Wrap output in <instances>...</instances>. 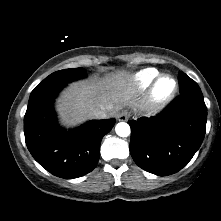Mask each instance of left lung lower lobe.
I'll return each instance as SVG.
<instances>
[{
    "label": "left lung lower lobe",
    "instance_id": "0a47b994",
    "mask_svg": "<svg viewBox=\"0 0 221 221\" xmlns=\"http://www.w3.org/2000/svg\"><path fill=\"white\" fill-rule=\"evenodd\" d=\"M206 121L202 93L180 94L156 116L129 121L135 163L159 176L178 172L201 146Z\"/></svg>",
    "mask_w": 221,
    "mask_h": 221
}]
</instances>
